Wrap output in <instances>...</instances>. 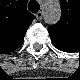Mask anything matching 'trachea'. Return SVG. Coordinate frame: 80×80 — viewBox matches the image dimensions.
I'll return each instance as SVG.
<instances>
[{
  "instance_id": "trachea-1",
  "label": "trachea",
  "mask_w": 80,
  "mask_h": 80,
  "mask_svg": "<svg viewBox=\"0 0 80 80\" xmlns=\"http://www.w3.org/2000/svg\"><path fill=\"white\" fill-rule=\"evenodd\" d=\"M28 10L32 13H37L40 10V5L36 0H31L28 4Z\"/></svg>"
}]
</instances>
